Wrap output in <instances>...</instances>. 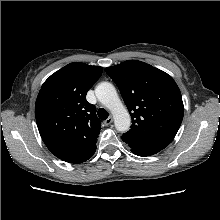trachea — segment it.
Segmentation results:
<instances>
[{
  "instance_id": "obj_1",
  "label": "trachea",
  "mask_w": 220,
  "mask_h": 220,
  "mask_svg": "<svg viewBox=\"0 0 220 220\" xmlns=\"http://www.w3.org/2000/svg\"><path fill=\"white\" fill-rule=\"evenodd\" d=\"M98 117L101 119V120H106L107 118H108V116H109V114H108V112L105 110V109H103V108H100L99 110H98Z\"/></svg>"
}]
</instances>
